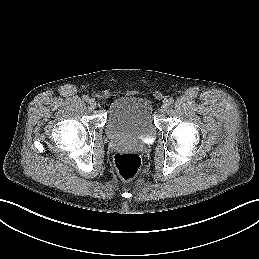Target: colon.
<instances>
[{
  "mask_svg": "<svg viewBox=\"0 0 259 259\" xmlns=\"http://www.w3.org/2000/svg\"><path fill=\"white\" fill-rule=\"evenodd\" d=\"M114 167L120 178L128 181L139 173L141 159L137 154L132 152L118 153L114 157Z\"/></svg>",
  "mask_w": 259,
  "mask_h": 259,
  "instance_id": "colon-1",
  "label": "colon"
}]
</instances>
